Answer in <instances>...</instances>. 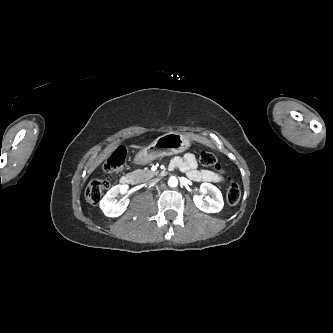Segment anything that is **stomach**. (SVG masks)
I'll return each instance as SVG.
<instances>
[{"instance_id":"0dacf381","label":"stomach","mask_w":333,"mask_h":333,"mask_svg":"<svg viewBox=\"0 0 333 333\" xmlns=\"http://www.w3.org/2000/svg\"><path fill=\"white\" fill-rule=\"evenodd\" d=\"M189 147L190 141L186 136L178 132H169L159 136L152 144L139 151L134 163L145 165L158 157L184 152Z\"/></svg>"}]
</instances>
